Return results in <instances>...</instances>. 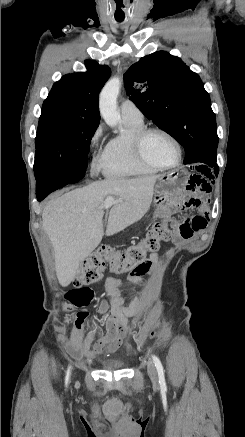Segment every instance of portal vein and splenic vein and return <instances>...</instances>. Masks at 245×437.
Listing matches in <instances>:
<instances>
[{
    "label": "portal vein and splenic vein",
    "mask_w": 245,
    "mask_h": 437,
    "mask_svg": "<svg viewBox=\"0 0 245 437\" xmlns=\"http://www.w3.org/2000/svg\"><path fill=\"white\" fill-rule=\"evenodd\" d=\"M121 199H115L113 197H107L104 201V207L105 208H109L111 207L114 203H118L121 202Z\"/></svg>",
    "instance_id": "portal-vein-and-splenic-vein-1"
}]
</instances>
